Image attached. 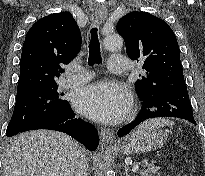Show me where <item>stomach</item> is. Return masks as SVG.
Instances as JSON below:
<instances>
[{"mask_svg":"<svg viewBox=\"0 0 205 176\" xmlns=\"http://www.w3.org/2000/svg\"><path fill=\"white\" fill-rule=\"evenodd\" d=\"M167 135L153 126H139L113 149L123 154L146 153L164 146Z\"/></svg>","mask_w":205,"mask_h":176,"instance_id":"0dacf381","label":"stomach"}]
</instances>
